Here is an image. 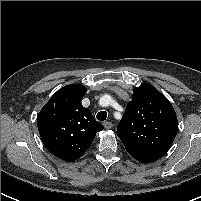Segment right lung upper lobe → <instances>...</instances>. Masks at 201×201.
<instances>
[{
    "label": "right lung upper lobe",
    "instance_id": "right-lung-upper-lobe-1",
    "mask_svg": "<svg viewBox=\"0 0 201 201\" xmlns=\"http://www.w3.org/2000/svg\"><path fill=\"white\" fill-rule=\"evenodd\" d=\"M87 89L71 84L58 90L37 115V126L46 148L65 161L80 158L95 134L104 129L91 111L82 106Z\"/></svg>",
    "mask_w": 201,
    "mask_h": 201
}]
</instances>
